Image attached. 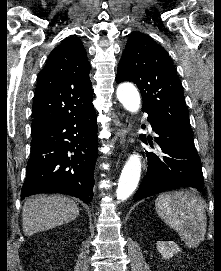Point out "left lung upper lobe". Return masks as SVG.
<instances>
[{
    "label": "left lung upper lobe",
    "mask_w": 221,
    "mask_h": 271,
    "mask_svg": "<svg viewBox=\"0 0 221 271\" xmlns=\"http://www.w3.org/2000/svg\"><path fill=\"white\" fill-rule=\"evenodd\" d=\"M139 88L142 110L193 137L182 85L165 49L146 35L131 34L118 65L116 82Z\"/></svg>",
    "instance_id": "5c2ea615"
}]
</instances>
